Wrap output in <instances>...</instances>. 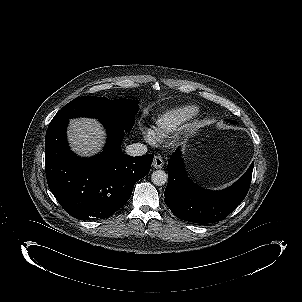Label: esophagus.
<instances>
[{"label":"esophagus","mask_w":302,"mask_h":302,"mask_svg":"<svg viewBox=\"0 0 302 302\" xmlns=\"http://www.w3.org/2000/svg\"><path fill=\"white\" fill-rule=\"evenodd\" d=\"M152 165L156 169L162 168L163 165H164L163 158L161 156H159V155L155 156Z\"/></svg>","instance_id":"esophagus-1"}]
</instances>
